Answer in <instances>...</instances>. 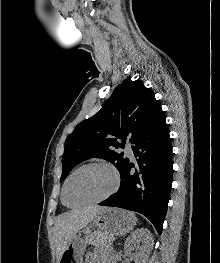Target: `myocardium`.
<instances>
[{
    "mask_svg": "<svg viewBox=\"0 0 220 263\" xmlns=\"http://www.w3.org/2000/svg\"><path fill=\"white\" fill-rule=\"evenodd\" d=\"M92 166H102L107 168L113 175V186L112 188L103 196L90 200V201H86L83 203H79V204H70L67 201V189H68V185L70 183V180L72 179V177L79 171H81L82 169H85L87 167H92ZM120 182H121V178H120V174L117 171V169L111 165L108 162L105 161H93V162H89L86 164H83L81 166H79L78 168H76L66 179L65 183H64V187H63V192H62V201L63 203L71 208H78V207H83V206H87V205H92V204H97V203H101L105 200H107L108 198H110L113 194L116 193V191L119 189L120 186Z\"/></svg>",
    "mask_w": 220,
    "mask_h": 263,
    "instance_id": "1",
    "label": "myocardium"
}]
</instances>
